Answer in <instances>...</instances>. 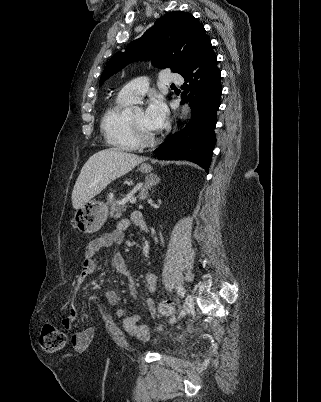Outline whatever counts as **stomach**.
I'll use <instances>...</instances> for the list:
<instances>
[{
	"instance_id": "obj_1",
	"label": "stomach",
	"mask_w": 321,
	"mask_h": 402,
	"mask_svg": "<svg viewBox=\"0 0 321 402\" xmlns=\"http://www.w3.org/2000/svg\"><path fill=\"white\" fill-rule=\"evenodd\" d=\"M149 164H141L139 170L143 173L151 171ZM108 206L106 203L96 199H90L77 209L73 218L75 227L83 233L97 232L105 223L108 217Z\"/></svg>"
}]
</instances>
